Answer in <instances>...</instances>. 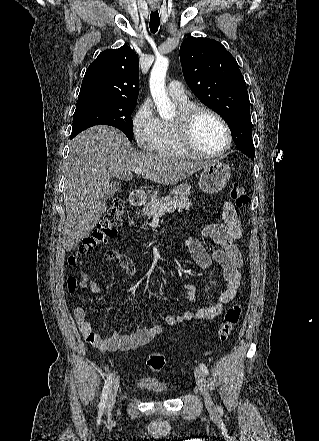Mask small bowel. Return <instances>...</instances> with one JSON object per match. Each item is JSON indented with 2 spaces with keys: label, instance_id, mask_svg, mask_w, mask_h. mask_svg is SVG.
<instances>
[{
  "label": "small bowel",
  "instance_id": "small-bowel-1",
  "mask_svg": "<svg viewBox=\"0 0 319 441\" xmlns=\"http://www.w3.org/2000/svg\"><path fill=\"white\" fill-rule=\"evenodd\" d=\"M222 217L223 223L208 225L204 231L205 236L218 245V249L214 252L209 253L196 238L188 237L181 241L182 246L191 253L194 262L201 269H209L214 262L221 267L226 288L218 294L213 304L201 306L196 310L186 309L178 315H167L164 318V326L139 328L130 334L114 332L107 339L102 338L93 328L85 309L79 304L74 310V318L84 338L103 352L129 351L147 345L156 336L161 335L165 327L193 320L212 319L220 315L224 305L231 302L237 295L241 283L240 269L243 265L241 253L236 245V241L242 236V226L232 203L226 202L223 205ZM105 258L107 261H116L127 275L136 274L134 263L125 254L110 250L105 254ZM81 286L88 287L95 296L101 293L98 283L86 273H82ZM183 287L190 303L194 305L198 291L196 284L187 282Z\"/></svg>",
  "mask_w": 319,
  "mask_h": 441
}]
</instances>
